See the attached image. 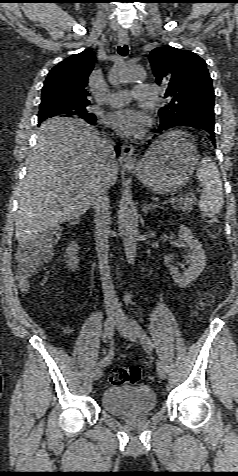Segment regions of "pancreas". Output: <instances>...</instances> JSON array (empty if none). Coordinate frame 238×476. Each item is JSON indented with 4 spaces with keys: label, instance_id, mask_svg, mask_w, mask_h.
Returning <instances> with one entry per match:
<instances>
[{
    "label": "pancreas",
    "instance_id": "pancreas-1",
    "mask_svg": "<svg viewBox=\"0 0 238 476\" xmlns=\"http://www.w3.org/2000/svg\"><path fill=\"white\" fill-rule=\"evenodd\" d=\"M196 203V196L192 193L182 197L179 202L173 205L175 210H180L182 212L188 213L192 210L193 205Z\"/></svg>",
    "mask_w": 238,
    "mask_h": 476
}]
</instances>
